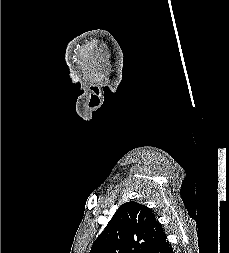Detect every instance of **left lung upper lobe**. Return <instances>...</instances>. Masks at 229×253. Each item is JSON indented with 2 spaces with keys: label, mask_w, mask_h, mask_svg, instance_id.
I'll return each instance as SVG.
<instances>
[{
  "label": "left lung upper lobe",
  "mask_w": 229,
  "mask_h": 253,
  "mask_svg": "<svg viewBox=\"0 0 229 253\" xmlns=\"http://www.w3.org/2000/svg\"><path fill=\"white\" fill-rule=\"evenodd\" d=\"M165 237L152 210L130 201L118 208L90 253H155Z\"/></svg>",
  "instance_id": "obj_1"
}]
</instances>
